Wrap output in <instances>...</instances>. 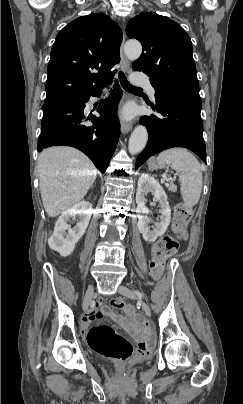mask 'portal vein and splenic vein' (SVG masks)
<instances>
[{"label":"portal vein and splenic vein","mask_w":243,"mask_h":404,"mask_svg":"<svg viewBox=\"0 0 243 404\" xmlns=\"http://www.w3.org/2000/svg\"><path fill=\"white\" fill-rule=\"evenodd\" d=\"M160 183H161L163 186H167V185H168V182H167L165 179H161V180H160Z\"/></svg>","instance_id":"1"}]
</instances>
